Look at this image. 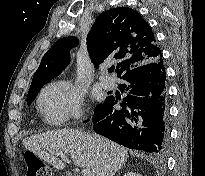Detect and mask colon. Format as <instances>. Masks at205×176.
Listing matches in <instances>:
<instances>
[{
	"label": "colon",
	"instance_id": "obj_1",
	"mask_svg": "<svg viewBox=\"0 0 205 176\" xmlns=\"http://www.w3.org/2000/svg\"><path fill=\"white\" fill-rule=\"evenodd\" d=\"M23 161L27 167V176H52L50 167L33 152L25 151Z\"/></svg>",
	"mask_w": 205,
	"mask_h": 176
}]
</instances>
